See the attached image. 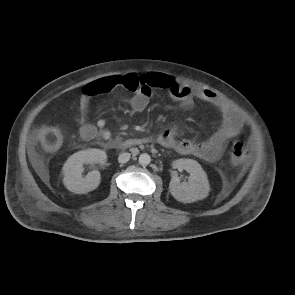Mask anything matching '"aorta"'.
I'll list each match as a JSON object with an SVG mask.
<instances>
[{
  "label": "aorta",
  "mask_w": 295,
  "mask_h": 295,
  "mask_svg": "<svg viewBox=\"0 0 295 295\" xmlns=\"http://www.w3.org/2000/svg\"><path fill=\"white\" fill-rule=\"evenodd\" d=\"M151 162V157L147 153H143L139 156V163L143 166L148 165Z\"/></svg>",
  "instance_id": "762f6f07"
}]
</instances>
